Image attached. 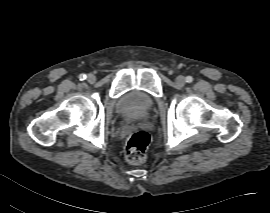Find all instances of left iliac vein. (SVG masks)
Instances as JSON below:
<instances>
[{
    "mask_svg": "<svg viewBox=\"0 0 270 213\" xmlns=\"http://www.w3.org/2000/svg\"><path fill=\"white\" fill-rule=\"evenodd\" d=\"M175 81L178 86H183L185 84V78L181 75L176 77Z\"/></svg>",
    "mask_w": 270,
    "mask_h": 213,
    "instance_id": "obj_1",
    "label": "left iliac vein"
}]
</instances>
